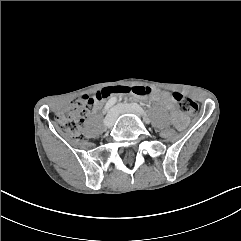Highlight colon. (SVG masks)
Wrapping results in <instances>:
<instances>
[{"label":"colon","instance_id":"5ec220e1","mask_svg":"<svg viewBox=\"0 0 241 241\" xmlns=\"http://www.w3.org/2000/svg\"><path fill=\"white\" fill-rule=\"evenodd\" d=\"M151 92V88L145 86H115L107 87L98 91L94 95H82L72 102L69 107L55 114V120L61 129L75 139L84 138L82 131L83 116L88 109L97 101L108 98L111 95H135L146 96ZM173 99L177 102L182 112L191 117L198 114L199 108L195 101L181 93H173ZM173 129H161L159 136L164 139L176 136Z\"/></svg>","mask_w":241,"mask_h":241}]
</instances>
